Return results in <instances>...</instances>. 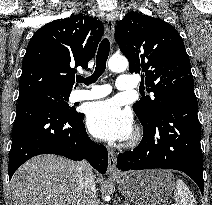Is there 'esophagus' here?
<instances>
[{
	"instance_id": "obj_1",
	"label": "esophagus",
	"mask_w": 212,
	"mask_h": 205,
	"mask_svg": "<svg viewBox=\"0 0 212 205\" xmlns=\"http://www.w3.org/2000/svg\"><path fill=\"white\" fill-rule=\"evenodd\" d=\"M105 29L107 37L110 42H112L114 38L115 24L114 17L111 14L106 15ZM108 172L110 174H116V154L112 149L108 151Z\"/></svg>"
}]
</instances>
